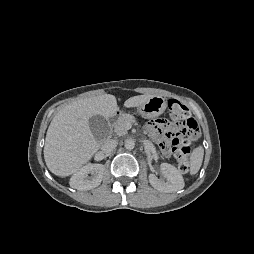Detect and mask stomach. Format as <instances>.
<instances>
[{"instance_id":"0dacf381","label":"stomach","mask_w":254,"mask_h":254,"mask_svg":"<svg viewBox=\"0 0 254 254\" xmlns=\"http://www.w3.org/2000/svg\"><path fill=\"white\" fill-rule=\"evenodd\" d=\"M167 101L161 96H153L144 104L137 107V111L145 118H155L164 113Z\"/></svg>"}]
</instances>
